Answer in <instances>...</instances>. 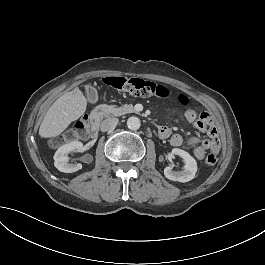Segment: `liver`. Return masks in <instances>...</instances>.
I'll use <instances>...</instances> for the list:
<instances>
[{
    "instance_id": "obj_1",
    "label": "liver",
    "mask_w": 265,
    "mask_h": 265,
    "mask_svg": "<svg viewBox=\"0 0 265 265\" xmlns=\"http://www.w3.org/2000/svg\"><path fill=\"white\" fill-rule=\"evenodd\" d=\"M86 106L87 99L80 89L74 88L64 93L46 111L39 126V137L53 138L62 134L73 121L81 117Z\"/></svg>"
}]
</instances>
